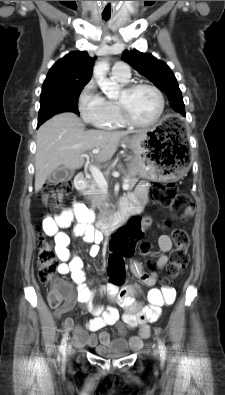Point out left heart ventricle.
Wrapping results in <instances>:
<instances>
[{
  "label": "left heart ventricle",
  "instance_id": "b2bd125f",
  "mask_svg": "<svg viewBox=\"0 0 225 395\" xmlns=\"http://www.w3.org/2000/svg\"><path fill=\"white\" fill-rule=\"evenodd\" d=\"M118 100L125 102L129 115L137 122H149L158 112V99L148 88H140L130 95L121 92Z\"/></svg>",
  "mask_w": 225,
  "mask_h": 395
}]
</instances>
